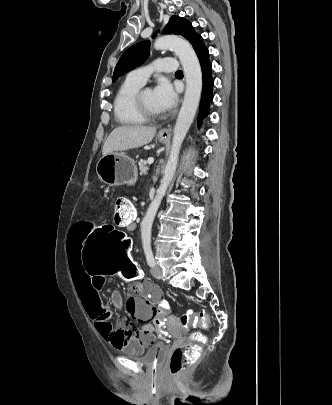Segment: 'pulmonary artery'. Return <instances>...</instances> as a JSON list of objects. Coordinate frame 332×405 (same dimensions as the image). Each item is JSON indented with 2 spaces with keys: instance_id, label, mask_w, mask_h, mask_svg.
<instances>
[{
  "instance_id": "pulmonary-artery-1",
  "label": "pulmonary artery",
  "mask_w": 332,
  "mask_h": 405,
  "mask_svg": "<svg viewBox=\"0 0 332 405\" xmlns=\"http://www.w3.org/2000/svg\"><path fill=\"white\" fill-rule=\"evenodd\" d=\"M177 69V62L173 58H159L150 66L141 67L129 73L128 78L145 84L153 71L172 73Z\"/></svg>"
}]
</instances>
